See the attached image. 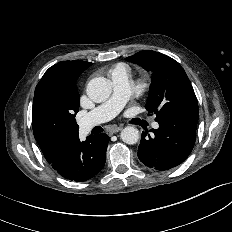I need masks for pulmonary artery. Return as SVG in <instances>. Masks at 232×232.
<instances>
[{"label":"pulmonary artery","mask_w":232,"mask_h":232,"mask_svg":"<svg viewBox=\"0 0 232 232\" xmlns=\"http://www.w3.org/2000/svg\"><path fill=\"white\" fill-rule=\"evenodd\" d=\"M110 79L113 85V93L108 100L91 110L81 120L83 132L89 131L94 126L114 118L122 110L131 94V81L127 68L118 67L111 71ZM153 128L159 124L154 122Z\"/></svg>","instance_id":"e3ab8cb5"}]
</instances>
